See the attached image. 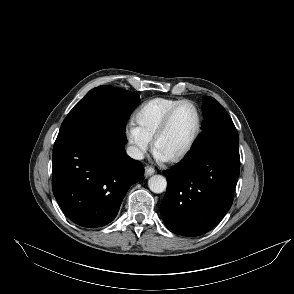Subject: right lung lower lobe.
<instances>
[{"label":"right lung lower lobe","mask_w":294,"mask_h":294,"mask_svg":"<svg viewBox=\"0 0 294 294\" xmlns=\"http://www.w3.org/2000/svg\"><path fill=\"white\" fill-rule=\"evenodd\" d=\"M96 98L110 101L103 91ZM126 143L125 131L116 128L56 139L53 193L74 223L88 228L110 223L129 187L143 177L142 164L126 155Z\"/></svg>","instance_id":"right-lung-lower-lobe-1"}]
</instances>
